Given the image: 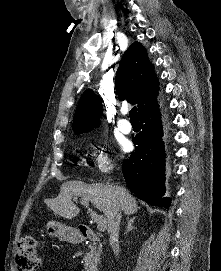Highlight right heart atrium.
Returning a JSON list of instances; mask_svg holds the SVG:
<instances>
[{
    "label": "right heart atrium",
    "instance_id": "right-heart-atrium-1",
    "mask_svg": "<svg viewBox=\"0 0 221 271\" xmlns=\"http://www.w3.org/2000/svg\"><path fill=\"white\" fill-rule=\"evenodd\" d=\"M95 163L93 164L95 167H105V162H103L105 159L101 157L100 159H97L96 157L93 159Z\"/></svg>",
    "mask_w": 221,
    "mask_h": 271
}]
</instances>
